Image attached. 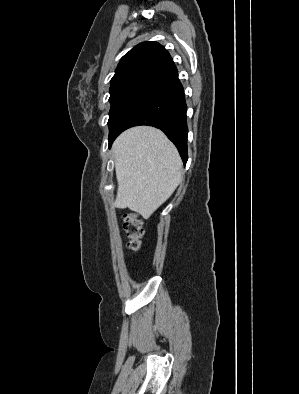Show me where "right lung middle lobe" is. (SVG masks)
I'll use <instances>...</instances> for the list:
<instances>
[{
  "label": "right lung middle lobe",
  "mask_w": 299,
  "mask_h": 394,
  "mask_svg": "<svg viewBox=\"0 0 299 394\" xmlns=\"http://www.w3.org/2000/svg\"><path fill=\"white\" fill-rule=\"evenodd\" d=\"M147 89V87L140 85H126L110 90L109 134L113 132L130 105Z\"/></svg>",
  "instance_id": "obj_1"
}]
</instances>
